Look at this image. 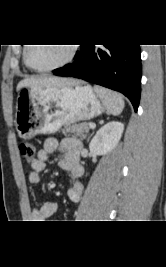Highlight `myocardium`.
<instances>
[{
    "label": "myocardium",
    "instance_id": "f54148a6",
    "mask_svg": "<svg viewBox=\"0 0 166 267\" xmlns=\"http://www.w3.org/2000/svg\"><path fill=\"white\" fill-rule=\"evenodd\" d=\"M32 44H28L25 49H24V52H23V60H24V63L26 64V66L35 71V72H40V73H44V72H51V71H54V70H57L59 68H62L64 66H66L67 64H69L75 54H76V47L73 45V44H69L68 48H69V52H68V55L67 57L60 63L54 65V66H51V67H46V68H37V67H34L32 66L30 63H29V60H28V53H29V49L31 47Z\"/></svg>",
    "mask_w": 166,
    "mask_h": 267
}]
</instances>
